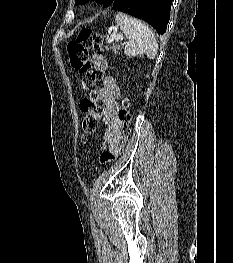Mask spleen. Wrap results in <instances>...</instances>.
Here are the masks:
<instances>
[{
  "instance_id": "1",
  "label": "spleen",
  "mask_w": 233,
  "mask_h": 263,
  "mask_svg": "<svg viewBox=\"0 0 233 263\" xmlns=\"http://www.w3.org/2000/svg\"><path fill=\"white\" fill-rule=\"evenodd\" d=\"M115 21L127 39L124 47L127 57L145 54L148 59L155 58L158 44L152 30L144 22L121 12L117 13Z\"/></svg>"
}]
</instances>
